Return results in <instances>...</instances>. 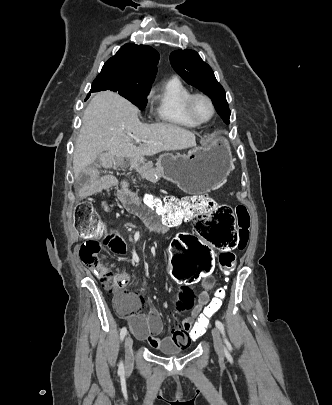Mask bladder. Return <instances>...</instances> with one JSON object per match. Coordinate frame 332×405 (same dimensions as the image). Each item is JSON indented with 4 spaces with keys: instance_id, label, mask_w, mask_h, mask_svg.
<instances>
[{
    "instance_id": "31cf9c89",
    "label": "bladder",
    "mask_w": 332,
    "mask_h": 405,
    "mask_svg": "<svg viewBox=\"0 0 332 405\" xmlns=\"http://www.w3.org/2000/svg\"><path fill=\"white\" fill-rule=\"evenodd\" d=\"M165 355L175 356L180 355L182 350L180 348H170L168 350L161 351Z\"/></svg>"
}]
</instances>
